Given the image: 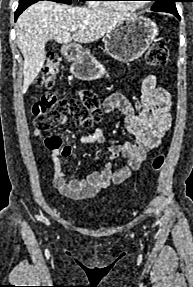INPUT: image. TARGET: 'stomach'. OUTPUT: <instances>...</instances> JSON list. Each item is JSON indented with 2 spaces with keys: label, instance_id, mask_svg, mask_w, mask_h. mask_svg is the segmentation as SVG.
<instances>
[{
  "label": "stomach",
  "instance_id": "1",
  "mask_svg": "<svg viewBox=\"0 0 193 287\" xmlns=\"http://www.w3.org/2000/svg\"><path fill=\"white\" fill-rule=\"evenodd\" d=\"M159 35L157 25L146 17H132L117 25L103 39L105 51L117 61L129 63L141 57ZM63 55L72 61L71 73L90 81L104 75L105 69L88 50L64 46Z\"/></svg>",
  "mask_w": 193,
  "mask_h": 287
}]
</instances>
